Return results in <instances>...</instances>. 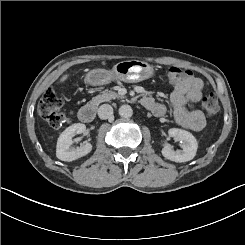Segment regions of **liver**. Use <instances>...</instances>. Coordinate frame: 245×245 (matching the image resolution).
<instances>
[{"label":"liver","instance_id":"obj_1","mask_svg":"<svg viewBox=\"0 0 245 245\" xmlns=\"http://www.w3.org/2000/svg\"><path fill=\"white\" fill-rule=\"evenodd\" d=\"M67 77H68L67 75L62 76L61 82L65 81L67 79Z\"/></svg>","mask_w":245,"mask_h":245}]
</instances>
